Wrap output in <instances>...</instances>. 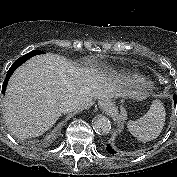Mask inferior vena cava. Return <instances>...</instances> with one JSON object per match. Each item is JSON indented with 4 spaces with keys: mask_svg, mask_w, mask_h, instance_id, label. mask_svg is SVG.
<instances>
[{
    "mask_svg": "<svg viewBox=\"0 0 177 177\" xmlns=\"http://www.w3.org/2000/svg\"><path fill=\"white\" fill-rule=\"evenodd\" d=\"M79 107H80L79 100L69 98V99L64 100L60 104L59 109H60L61 113L65 114V113L75 111V110L79 109Z\"/></svg>",
    "mask_w": 177,
    "mask_h": 177,
    "instance_id": "1",
    "label": "inferior vena cava"
}]
</instances>
